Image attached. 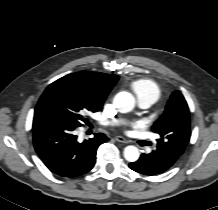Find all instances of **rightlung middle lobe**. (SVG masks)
I'll return each mask as SVG.
<instances>
[{
	"instance_id": "obj_1",
	"label": "right lung middle lobe",
	"mask_w": 218,
	"mask_h": 210,
	"mask_svg": "<svg viewBox=\"0 0 218 210\" xmlns=\"http://www.w3.org/2000/svg\"><path fill=\"white\" fill-rule=\"evenodd\" d=\"M99 110L100 107L94 105L84 96L53 82L40 97L34 117H58L69 121L75 127H79L83 122H86L85 114Z\"/></svg>"
}]
</instances>
